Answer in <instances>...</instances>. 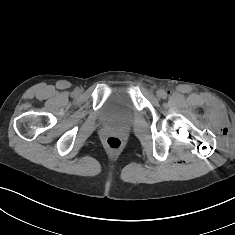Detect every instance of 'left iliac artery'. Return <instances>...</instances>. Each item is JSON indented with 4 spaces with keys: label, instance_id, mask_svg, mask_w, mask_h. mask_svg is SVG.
<instances>
[{
    "label": "left iliac artery",
    "instance_id": "left-iliac-artery-1",
    "mask_svg": "<svg viewBox=\"0 0 235 235\" xmlns=\"http://www.w3.org/2000/svg\"><path fill=\"white\" fill-rule=\"evenodd\" d=\"M167 97V94L166 92L164 91L163 94H162V98H166Z\"/></svg>",
    "mask_w": 235,
    "mask_h": 235
}]
</instances>
